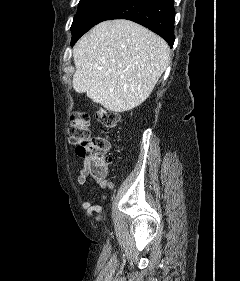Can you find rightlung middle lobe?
<instances>
[{
	"label": "right lung middle lobe",
	"instance_id": "obj_1",
	"mask_svg": "<svg viewBox=\"0 0 240 281\" xmlns=\"http://www.w3.org/2000/svg\"><path fill=\"white\" fill-rule=\"evenodd\" d=\"M118 0H80L71 31L73 45L85 32L96 25L98 19Z\"/></svg>",
	"mask_w": 240,
	"mask_h": 281
}]
</instances>
